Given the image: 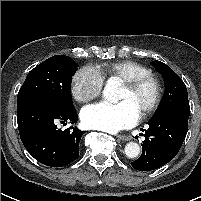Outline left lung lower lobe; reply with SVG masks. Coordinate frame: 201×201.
<instances>
[{"mask_svg":"<svg viewBox=\"0 0 201 201\" xmlns=\"http://www.w3.org/2000/svg\"><path fill=\"white\" fill-rule=\"evenodd\" d=\"M189 105L171 106L148 121L141 156L131 163L140 171H151L170 162L180 150L188 130Z\"/></svg>","mask_w":201,"mask_h":201,"instance_id":"left-lung-lower-lobe-1","label":"left lung lower lobe"}]
</instances>
